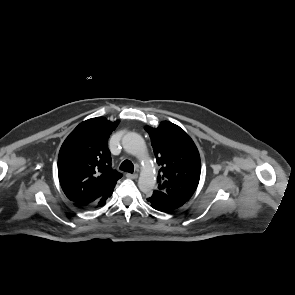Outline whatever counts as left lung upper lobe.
I'll list each match as a JSON object with an SVG mask.
<instances>
[{
    "instance_id": "left-lung-upper-lobe-1",
    "label": "left lung upper lobe",
    "mask_w": 295,
    "mask_h": 295,
    "mask_svg": "<svg viewBox=\"0 0 295 295\" xmlns=\"http://www.w3.org/2000/svg\"><path fill=\"white\" fill-rule=\"evenodd\" d=\"M151 138L158 165V189L188 201L200 179L201 162L196 145L179 126L163 121L157 128L145 127Z\"/></svg>"
}]
</instances>
